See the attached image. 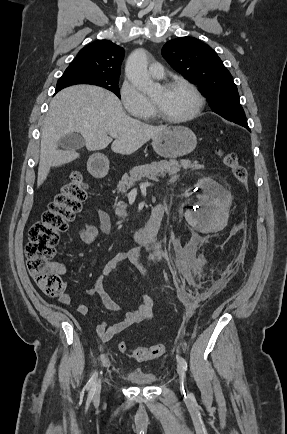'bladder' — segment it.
<instances>
[{
	"label": "bladder",
	"instance_id": "31cf9c89",
	"mask_svg": "<svg viewBox=\"0 0 287 434\" xmlns=\"http://www.w3.org/2000/svg\"><path fill=\"white\" fill-rule=\"evenodd\" d=\"M125 378L137 386H152L158 382V377L154 373L145 372L138 368L129 370L125 374Z\"/></svg>",
	"mask_w": 287,
	"mask_h": 434
}]
</instances>
